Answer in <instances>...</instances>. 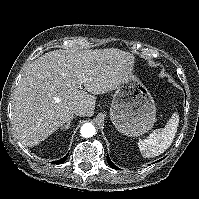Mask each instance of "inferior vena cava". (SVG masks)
Here are the masks:
<instances>
[{
    "label": "inferior vena cava",
    "instance_id": "602c4592",
    "mask_svg": "<svg viewBox=\"0 0 199 199\" xmlns=\"http://www.w3.org/2000/svg\"><path fill=\"white\" fill-rule=\"evenodd\" d=\"M73 113L77 116H86V110L82 106H76L73 110Z\"/></svg>",
    "mask_w": 199,
    "mask_h": 199
}]
</instances>
